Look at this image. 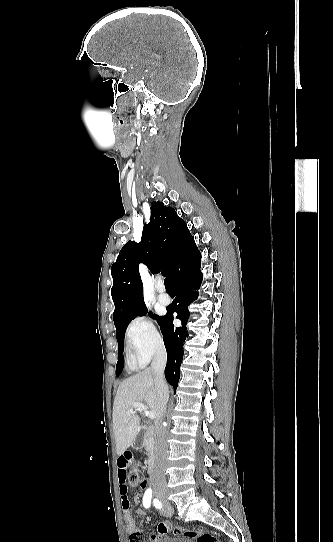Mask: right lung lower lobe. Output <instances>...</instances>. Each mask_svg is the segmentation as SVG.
I'll return each mask as SVG.
<instances>
[{"label": "right lung lower lobe", "mask_w": 333, "mask_h": 542, "mask_svg": "<svg viewBox=\"0 0 333 542\" xmlns=\"http://www.w3.org/2000/svg\"><path fill=\"white\" fill-rule=\"evenodd\" d=\"M201 254L196 247L195 242L181 250L175 258L171 282L176 292V298L168 306L167 314L160 321V329L163 334V340L167 351V365L165 368V377L170 385L176 391L180 377V364L183 358V343L186 340V323L189 317L187 307L198 297V292L202 282V273L200 271ZM177 313L176 318L180 319L182 326L174 328L173 313Z\"/></svg>", "instance_id": "right-lung-lower-lobe-1"}]
</instances>
